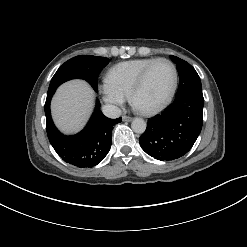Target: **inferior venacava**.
Returning a JSON list of instances; mask_svg holds the SVG:
<instances>
[{
    "instance_id": "inferior-vena-cava-1",
    "label": "inferior vena cava",
    "mask_w": 247,
    "mask_h": 247,
    "mask_svg": "<svg viewBox=\"0 0 247 247\" xmlns=\"http://www.w3.org/2000/svg\"><path fill=\"white\" fill-rule=\"evenodd\" d=\"M103 113L109 118H118L121 115V109L115 105L107 104L103 106Z\"/></svg>"
}]
</instances>
